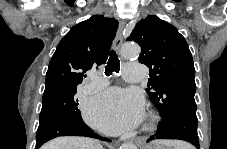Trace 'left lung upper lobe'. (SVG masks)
I'll use <instances>...</instances> for the list:
<instances>
[{"label": "left lung upper lobe", "mask_w": 227, "mask_h": 149, "mask_svg": "<svg viewBox=\"0 0 227 149\" xmlns=\"http://www.w3.org/2000/svg\"><path fill=\"white\" fill-rule=\"evenodd\" d=\"M128 41L141 47L139 62L150 69L146 89L161 116H196L195 69L184 37L170 23L150 15L140 20Z\"/></svg>", "instance_id": "1"}]
</instances>
